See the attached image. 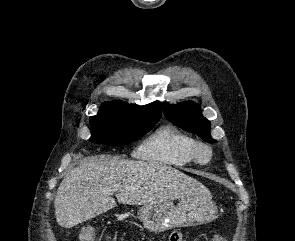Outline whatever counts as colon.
Segmentation results:
<instances>
[{
  "instance_id": "5ec220e1",
  "label": "colon",
  "mask_w": 295,
  "mask_h": 241,
  "mask_svg": "<svg viewBox=\"0 0 295 241\" xmlns=\"http://www.w3.org/2000/svg\"><path fill=\"white\" fill-rule=\"evenodd\" d=\"M83 241H95V230L85 229L83 232ZM170 241H185V239L181 233L174 232L170 236ZM212 241H227V240L222 237H214Z\"/></svg>"
}]
</instances>
